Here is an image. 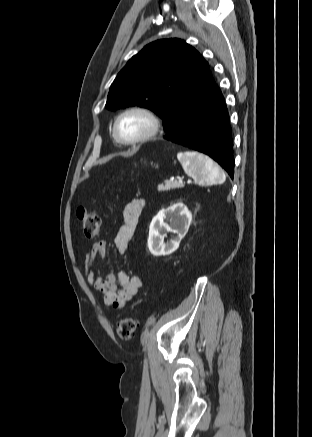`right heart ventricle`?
Wrapping results in <instances>:
<instances>
[{
    "instance_id": "e07e8e85",
    "label": "right heart ventricle",
    "mask_w": 312,
    "mask_h": 437,
    "mask_svg": "<svg viewBox=\"0 0 312 437\" xmlns=\"http://www.w3.org/2000/svg\"><path fill=\"white\" fill-rule=\"evenodd\" d=\"M113 138L115 140V142H118L117 138L115 137L114 133H113Z\"/></svg>"
}]
</instances>
